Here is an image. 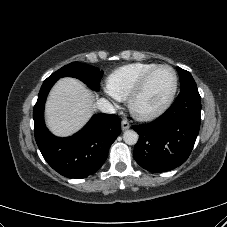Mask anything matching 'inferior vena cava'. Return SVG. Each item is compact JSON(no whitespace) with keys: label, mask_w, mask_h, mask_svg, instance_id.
<instances>
[{"label":"inferior vena cava","mask_w":227,"mask_h":227,"mask_svg":"<svg viewBox=\"0 0 227 227\" xmlns=\"http://www.w3.org/2000/svg\"><path fill=\"white\" fill-rule=\"evenodd\" d=\"M96 107L102 113L113 114L116 112L114 106L105 98H100L96 103Z\"/></svg>","instance_id":"1"}]
</instances>
